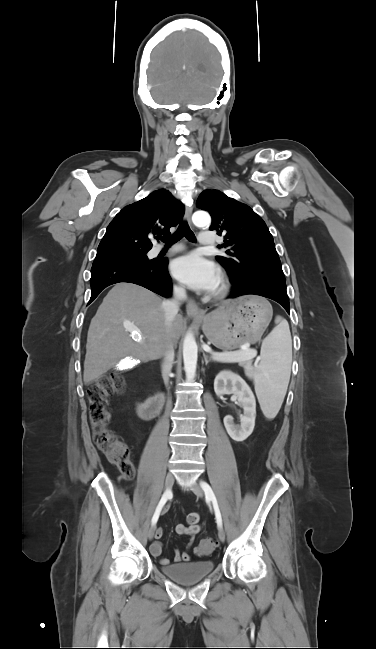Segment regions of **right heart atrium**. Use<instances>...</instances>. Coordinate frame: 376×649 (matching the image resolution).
Wrapping results in <instances>:
<instances>
[{
  "mask_svg": "<svg viewBox=\"0 0 376 649\" xmlns=\"http://www.w3.org/2000/svg\"><path fill=\"white\" fill-rule=\"evenodd\" d=\"M175 292H176L178 295H182V294H183V290H182L180 287H175Z\"/></svg>",
  "mask_w": 376,
  "mask_h": 649,
  "instance_id": "obj_1",
  "label": "right heart atrium"
}]
</instances>
